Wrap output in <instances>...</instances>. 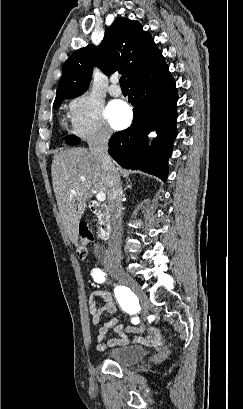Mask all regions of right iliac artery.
I'll return each instance as SVG.
<instances>
[{
    "instance_id": "obj_1",
    "label": "right iliac artery",
    "mask_w": 243,
    "mask_h": 409,
    "mask_svg": "<svg viewBox=\"0 0 243 409\" xmlns=\"http://www.w3.org/2000/svg\"><path fill=\"white\" fill-rule=\"evenodd\" d=\"M92 276L97 283H102L105 280V273L100 269H93ZM114 292L120 305L123 306L128 313L133 314L137 301L134 299L130 290L123 286H117ZM139 321L138 317L132 319V323L134 324H138Z\"/></svg>"
}]
</instances>
